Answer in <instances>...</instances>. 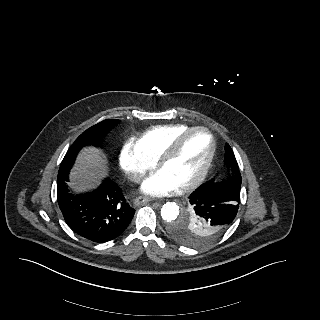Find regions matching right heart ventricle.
I'll use <instances>...</instances> for the list:
<instances>
[{
    "label": "right heart ventricle",
    "instance_id": "e07e8e85",
    "mask_svg": "<svg viewBox=\"0 0 320 320\" xmlns=\"http://www.w3.org/2000/svg\"><path fill=\"white\" fill-rule=\"evenodd\" d=\"M189 128L191 126L180 123L157 125L141 133L134 143L146 158L155 162L172 140Z\"/></svg>",
    "mask_w": 320,
    "mask_h": 320
}]
</instances>
